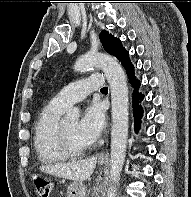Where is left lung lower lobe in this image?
<instances>
[{
  "instance_id": "obj_1",
  "label": "left lung lower lobe",
  "mask_w": 191,
  "mask_h": 197,
  "mask_svg": "<svg viewBox=\"0 0 191 197\" xmlns=\"http://www.w3.org/2000/svg\"><path fill=\"white\" fill-rule=\"evenodd\" d=\"M128 73V76L130 78V82L133 84L135 88H139L140 82L133 76V67L129 68L126 70ZM142 94H138L137 91L134 92L133 94V106H134V117H135V131L137 132V129L139 128V122L142 117V109L138 105L139 104V99H143Z\"/></svg>"
}]
</instances>
